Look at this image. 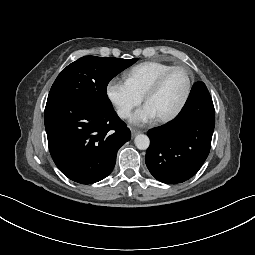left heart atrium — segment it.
I'll return each instance as SVG.
<instances>
[{
    "mask_svg": "<svg viewBox=\"0 0 255 255\" xmlns=\"http://www.w3.org/2000/svg\"><path fill=\"white\" fill-rule=\"evenodd\" d=\"M156 117L157 115L153 109L146 103L133 115L132 122L135 124H144L155 119Z\"/></svg>",
    "mask_w": 255,
    "mask_h": 255,
    "instance_id": "1",
    "label": "left heart atrium"
}]
</instances>
